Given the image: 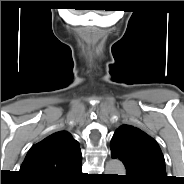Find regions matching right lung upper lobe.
<instances>
[{
	"instance_id": "1",
	"label": "right lung upper lobe",
	"mask_w": 184,
	"mask_h": 184,
	"mask_svg": "<svg viewBox=\"0 0 184 184\" xmlns=\"http://www.w3.org/2000/svg\"><path fill=\"white\" fill-rule=\"evenodd\" d=\"M81 161L78 142L67 131H59L31 147L20 172L30 181H55Z\"/></svg>"
}]
</instances>
